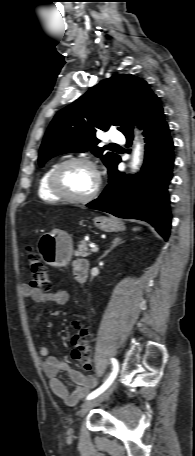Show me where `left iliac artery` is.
<instances>
[{"mask_svg": "<svg viewBox=\"0 0 195 456\" xmlns=\"http://www.w3.org/2000/svg\"><path fill=\"white\" fill-rule=\"evenodd\" d=\"M111 362H112L113 368H112V372H111L110 376L98 389H96L95 391H93L92 393H90L87 396V398H86L87 400L93 399V398L99 396L101 393H103L112 384V382L116 378L118 370H119V364L115 358H111Z\"/></svg>", "mask_w": 195, "mask_h": 456, "instance_id": "1", "label": "left iliac artery"}]
</instances>
